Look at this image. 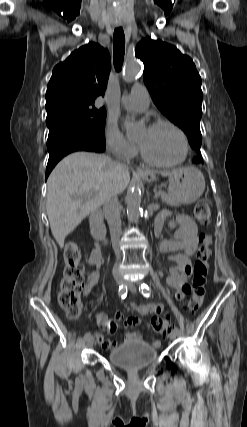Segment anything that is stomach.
I'll use <instances>...</instances> for the list:
<instances>
[{
  "label": "stomach",
  "mask_w": 247,
  "mask_h": 427,
  "mask_svg": "<svg viewBox=\"0 0 247 427\" xmlns=\"http://www.w3.org/2000/svg\"><path fill=\"white\" fill-rule=\"evenodd\" d=\"M149 180H155L151 177ZM205 189V179L195 167H183L173 170L169 175V195L179 204H192L197 201Z\"/></svg>",
  "instance_id": "1"
}]
</instances>
